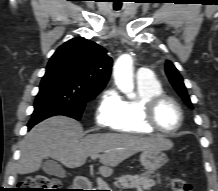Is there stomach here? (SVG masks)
<instances>
[{"label":"stomach","instance_id":"1","mask_svg":"<svg viewBox=\"0 0 218 191\" xmlns=\"http://www.w3.org/2000/svg\"><path fill=\"white\" fill-rule=\"evenodd\" d=\"M168 161L166 154L160 149H146L140 155L141 165L149 172H154Z\"/></svg>","mask_w":218,"mask_h":191}]
</instances>
